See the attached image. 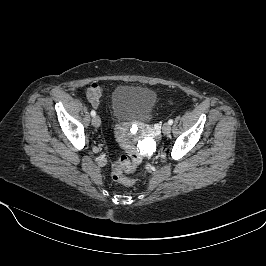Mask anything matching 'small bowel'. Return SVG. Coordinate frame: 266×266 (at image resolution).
<instances>
[{
    "label": "small bowel",
    "instance_id": "small-bowel-1",
    "mask_svg": "<svg viewBox=\"0 0 266 266\" xmlns=\"http://www.w3.org/2000/svg\"><path fill=\"white\" fill-rule=\"evenodd\" d=\"M103 93V87L99 84L93 83L87 89V99L93 107H98L100 103V98Z\"/></svg>",
    "mask_w": 266,
    "mask_h": 266
}]
</instances>
